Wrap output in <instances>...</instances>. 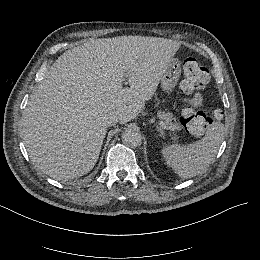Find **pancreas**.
I'll return each instance as SVG.
<instances>
[{"label":"pancreas","mask_w":260,"mask_h":260,"mask_svg":"<svg viewBox=\"0 0 260 260\" xmlns=\"http://www.w3.org/2000/svg\"><path fill=\"white\" fill-rule=\"evenodd\" d=\"M157 116L159 119L164 120L169 130H181L182 125L176 121L171 112L158 111Z\"/></svg>","instance_id":"cf45deb5"}]
</instances>
